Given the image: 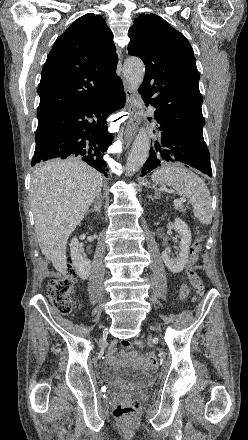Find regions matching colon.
Masks as SVG:
<instances>
[{
    "instance_id": "5ec220e1",
    "label": "colon",
    "mask_w": 248,
    "mask_h": 440,
    "mask_svg": "<svg viewBox=\"0 0 248 440\" xmlns=\"http://www.w3.org/2000/svg\"><path fill=\"white\" fill-rule=\"evenodd\" d=\"M202 236L198 234L195 242L192 244L189 252V261L187 265V275L191 285L196 290L197 295H201L204 290L203 280L197 272L198 258L202 251ZM77 279L76 270L73 266L72 260L69 261L68 268L65 274L57 279L49 282L47 288L48 297L56 309L62 315H69L73 311V291ZM134 346L141 349L144 347V342L141 339L134 341ZM140 408V403L137 399H132L129 402L119 403L115 406L113 414L117 418H127L134 416Z\"/></svg>"
}]
</instances>
